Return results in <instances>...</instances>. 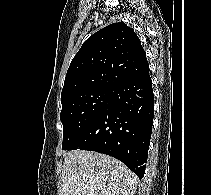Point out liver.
I'll return each instance as SVG.
<instances>
[{"mask_svg":"<svg viewBox=\"0 0 211 195\" xmlns=\"http://www.w3.org/2000/svg\"><path fill=\"white\" fill-rule=\"evenodd\" d=\"M61 195H134L137 176L119 160L94 151L64 155Z\"/></svg>","mask_w":211,"mask_h":195,"instance_id":"obj_1","label":"liver"}]
</instances>
